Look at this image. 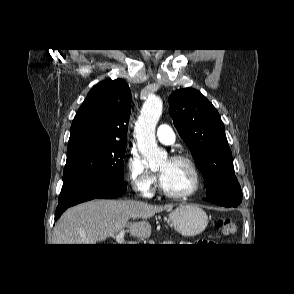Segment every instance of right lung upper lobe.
<instances>
[{
	"mask_svg": "<svg viewBox=\"0 0 294 294\" xmlns=\"http://www.w3.org/2000/svg\"><path fill=\"white\" fill-rule=\"evenodd\" d=\"M131 92L122 79H107L88 93L71 125L68 145L84 141L127 144Z\"/></svg>",
	"mask_w": 294,
	"mask_h": 294,
	"instance_id": "right-lung-upper-lobe-1",
	"label": "right lung upper lobe"
}]
</instances>
